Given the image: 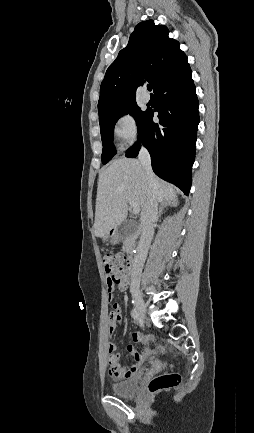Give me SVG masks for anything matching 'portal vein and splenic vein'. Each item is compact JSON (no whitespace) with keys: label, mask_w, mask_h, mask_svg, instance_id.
Returning a JSON list of instances; mask_svg holds the SVG:
<instances>
[{"label":"portal vein and splenic vein","mask_w":254,"mask_h":433,"mask_svg":"<svg viewBox=\"0 0 254 433\" xmlns=\"http://www.w3.org/2000/svg\"><path fill=\"white\" fill-rule=\"evenodd\" d=\"M130 206L134 214H138L140 212V207L136 203L130 202Z\"/></svg>","instance_id":"portal-vein-and-splenic-vein-1"}]
</instances>
